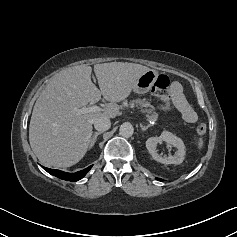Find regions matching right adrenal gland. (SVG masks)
I'll return each instance as SVG.
<instances>
[{
  "mask_svg": "<svg viewBox=\"0 0 237 237\" xmlns=\"http://www.w3.org/2000/svg\"><path fill=\"white\" fill-rule=\"evenodd\" d=\"M102 133H103V132H94V133H93V136L91 137V140H90L89 149H91V148L94 146V144H95V142H96V140H97L98 135H100V134H102Z\"/></svg>",
  "mask_w": 237,
  "mask_h": 237,
  "instance_id": "1",
  "label": "right adrenal gland"
}]
</instances>
